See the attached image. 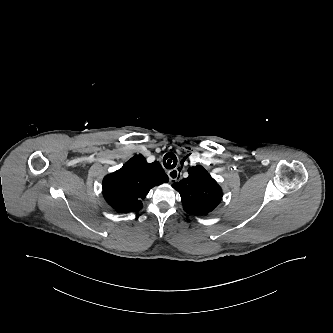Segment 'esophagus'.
I'll list each match as a JSON object with an SVG mask.
<instances>
[{
    "label": "esophagus",
    "instance_id": "obj_1",
    "mask_svg": "<svg viewBox=\"0 0 333 333\" xmlns=\"http://www.w3.org/2000/svg\"><path fill=\"white\" fill-rule=\"evenodd\" d=\"M180 167L172 169L168 172V177L170 182H177L181 179V174L179 173Z\"/></svg>",
    "mask_w": 333,
    "mask_h": 333
}]
</instances>
